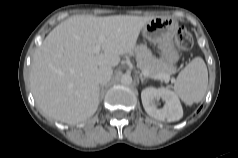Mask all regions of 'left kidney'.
Returning a JSON list of instances; mask_svg holds the SVG:
<instances>
[{
	"label": "left kidney",
	"instance_id": "1",
	"mask_svg": "<svg viewBox=\"0 0 238 158\" xmlns=\"http://www.w3.org/2000/svg\"><path fill=\"white\" fill-rule=\"evenodd\" d=\"M165 102L163 108L158 109L155 99ZM143 107L151 117L167 122L178 121L183 117V109L178 97L169 89L147 87L141 92Z\"/></svg>",
	"mask_w": 238,
	"mask_h": 158
}]
</instances>
